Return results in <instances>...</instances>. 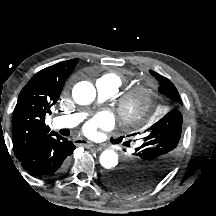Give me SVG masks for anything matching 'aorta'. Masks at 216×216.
<instances>
[{
    "label": "aorta",
    "instance_id": "aorta-1",
    "mask_svg": "<svg viewBox=\"0 0 216 216\" xmlns=\"http://www.w3.org/2000/svg\"><path fill=\"white\" fill-rule=\"evenodd\" d=\"M72 96L77 104L88 105L94 101L96 90L90 82L82 81L74 86ZM100 164L105 169L116 167L118 164V154L113 150L103 151L100 155Z\"/></svg>",
    "mask_w": 216,
    "mask_h": 216
}]
</instances>
